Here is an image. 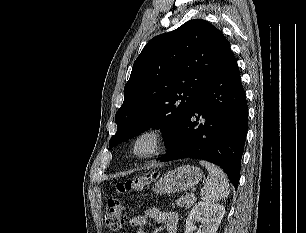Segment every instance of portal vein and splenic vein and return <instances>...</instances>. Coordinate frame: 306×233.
Wrapping results in <instances>:
<instances>
[{"label": "portal vein and splenic vein", "instance_id": "portal-vein-and-splenic-vein-1", "mask_svg": "<svg viewBox=\"0 0 306 233\" xmlns=\"http://www.w3.org/2000/svg\"><path fill=\"white\" fill-rule=\"evenodd\" d=\"M190 197H195L194 193H190Z\"/></svg>", "mask_w": 306, "mask_h": 233}]
</instances>
